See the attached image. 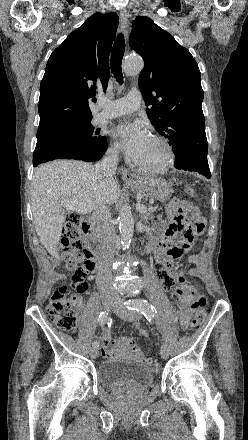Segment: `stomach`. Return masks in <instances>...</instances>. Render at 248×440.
<instances>
[{"mask_svg":"<svg viewBox=\"0 0 248 440\" xmlns=\"http://www.w3.org/2000/svg\"><path fill=\"white\" fill-rule=\"evenodd\" d=\"M129 185L139 196L155 198L162 202L168 200L173 193L171 185L160 178L137 176Z\"/></svg>","mask_w":248,"mask_h":440,"instance_id":"1","label":"stomach"}]
</instances>
